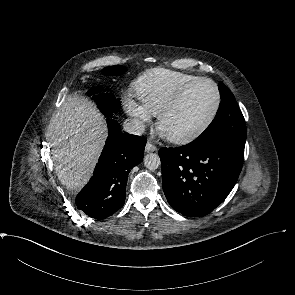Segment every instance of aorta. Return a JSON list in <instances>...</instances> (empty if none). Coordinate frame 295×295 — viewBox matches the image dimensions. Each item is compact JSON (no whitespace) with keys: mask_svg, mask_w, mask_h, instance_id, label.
I'll use <instances>...</instances> for the list:
<instances>
[{"mask_svg":"<svg viewBox=\"0 0 295 295\" xmlns=\"http://www.w3.org/2000/svg\"><path fill=\"white\" fill-rule=\"evenodd\" d=\"M144 165L149 170H156L161 165L160 157L156 153H149L144 157Z\"/></svg>","mask_w":295,"mask_h":295,"instance_id":"762f6f07","label":"aorta"}]
</instances>
